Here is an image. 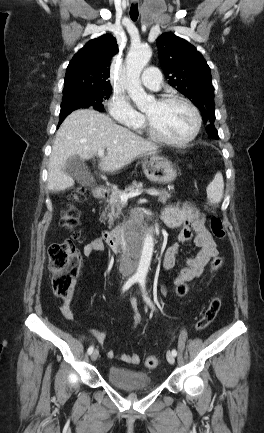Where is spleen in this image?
Here are the masks:
<instances>
[{"label": "spleen", "mask_w": 264, "mask_h": 433, "mask_svg": "<svg viewBox=\"0 0 264 433\" xmlns=\"http://www.w3.org/2000/svg\"><path fill=\"white\" fill-rule=\"evenodd\" d=\"M206 192L207 198L210 202L216 204L222 200L224 194V181L221 172H218L215 175L214 179L208 185Z\"/></svg>", "instance_id": "3e777b00"}]
</instances>
